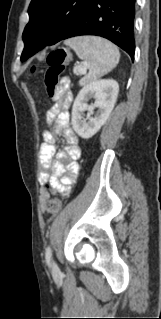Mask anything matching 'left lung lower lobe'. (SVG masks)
Wrapping results in <instances>:
<instances>
[{
    "instance_id": "left-lung-lower-lobe-1",
    "label": "left lung lower lobe",
    "mask_w": 161,
    "mask_h": 319,
    "mask_svg": "<svg viewBox=\"0 0 161 319\" xmlns=\"http://www.w3.org/2000/svg\"><path fill=\"white\" fill-rule=\"evenodd\" d=\"M134 17L135 0H93L62 40L80 35L101 36L125 50L133 60ZM33 47L34 44L21 61L38 52Z\"/></svg>"
}]
</instances>
